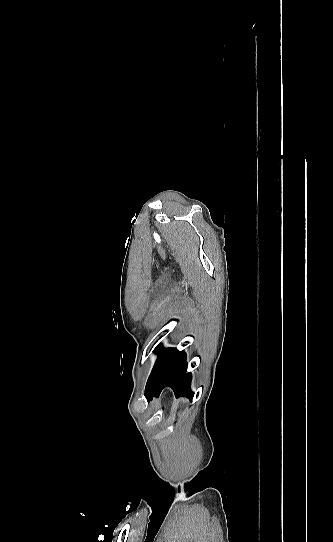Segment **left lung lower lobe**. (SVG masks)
I'll list each match as a JSON object with an SVG mask.
<instances>
[{"instance_id": "obj_1", "label": "left lung lower lobe", "mask_w": 333, "mask_h": 542, "mask_svg": "<svg viewBox=\"0 0 333 542\" xmlns=\"http://www.w3.org/2000/svg\"><path fill=\"white\" fill-rule=\"evenodd\" d=\"M158 359L148 378L145 396L148 400L157 395L161 390L170 386L176 396L186 395L192 399L193 392L190 390L191 373H186V353L175 348H163L160 344L154 350Z\"/></svg>"}]
</instances>
